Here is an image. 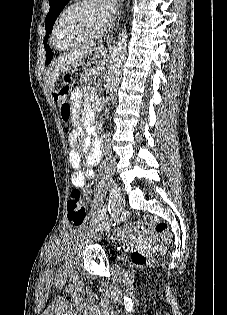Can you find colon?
Masks as SVG:
<instances>
[{
	"instance_id": "5ec220e1",
	"label": "colon",
	"mask_w": 227,
	"mask_h": 315,
	"mask_svg": "<svg viewBox=\"0 0 227 315\" xmlns=\"http://www.w3.org/2000/svg\"><path fill=\"white\" fill-rule=\"evenodd\" d=\"M70 77L64 75L62 83L54 91V98L59 103L62 117L65 121L69 120L72 114V105L69 100L70 93ZM68 217L75 225H81L86 221V210L81 201V192L79 189L71 191L67 201ZM150 231L155 235L161 246H167L170 242V232L166 221L151 218L149 221ZM117 234V233H114ZM121 234L123 236H132L135 238H143L147 235V230L140 222H134L126 226ZM154 251L151 250H135L132 254V261L135 265L142 266L147 264L153 257Z\"/></svg>"
}]
</instances>
